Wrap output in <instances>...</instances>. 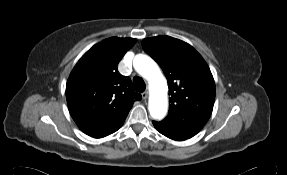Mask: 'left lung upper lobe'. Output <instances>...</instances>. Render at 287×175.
I'll return each mask as SVG.
<instances>
[{"mask_svg":"<svg viewBox=\"0 0 287 175\" xmlns=\"http://www.w3.org/2000/svg\"><path fill=\"white\" fill-rule=\"evenodd\" d=\"M142 46L168 80L171 104L159 123L186 139L193 137L213 110L215 83L208 65L191 45L169 36L144 39Z\"/></svg>","mask_w":287,"mask_h":175,"instance_id":"1","label":"left lung upper lobe"}]
</instances>
